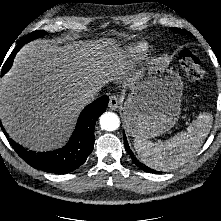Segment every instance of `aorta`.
Here are the masks:
<instances>
[{"label": "aorta", "mask_w": 221, "mask_h": 221, "mask_svg": "<svg viewBox=\"0 0 221 221\" xmlns=\"http://www.w3.org/2000/svg\"><path fill=\"white\" fill-rule=\"evenodd\" d=\"M100 126L103 130L114 131L120 125L119 117L113 112H106L100 117Z\"/></svg>", "instance_id": "762f6f07"}]
</instances>
